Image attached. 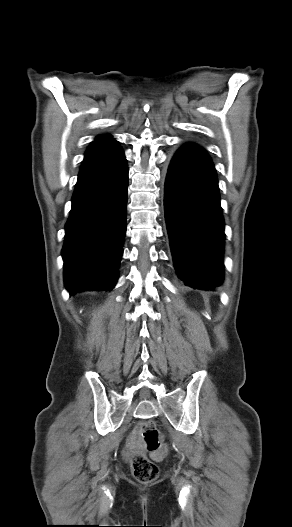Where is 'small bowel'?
Listing matches in <instances>:
<instances>
[{
	"label": "small bowel",
	"mask_w": 292,
	"mask_h": 527,
	"mask_svg": "<svg viewBox=\"0 0 292 527\" xmlns=\"http://www.w3.org/2000/svg\"><path fill=\"white\" fill-rule=\"evenodd\" d=\"M146 449L147 448L145 444L142 442L140 438L139 428H137L133 431V433L129 437L126 450H125V455L130 456L132 454H143L146 451ZM151 453L153 455V458H152L153 463L156 465H159L163 461L162 457L166 455L167 453V446L163 444L157 450L151 451Z\"/></svg>",
	"instance_id": "1"
}]
</instances>
